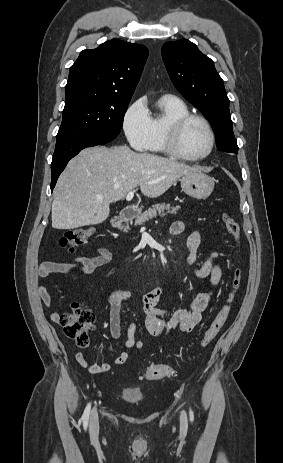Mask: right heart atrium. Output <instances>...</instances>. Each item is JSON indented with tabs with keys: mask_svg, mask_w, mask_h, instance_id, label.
I'll return each mask as SVG.
<instances>
[{
	"mask_svg": "<svg viewBox=\"0 0 283 463\" xmlns=\"http://www.w3.org/2000/svg\"><path fill=\"white\" fill-rule=\"evenodd\" d=\"M122 128L132 148L143 151L151 138L150 113L144 100L137 99L125 111Z\"/></svg>",
	"mask_w": 283,
	"mask_h": 463,
	"instance_id": "d8ad5b80",
	"label": "right heart atrium"
}]
</instances>
